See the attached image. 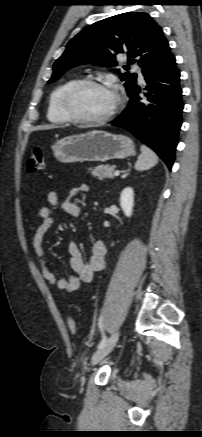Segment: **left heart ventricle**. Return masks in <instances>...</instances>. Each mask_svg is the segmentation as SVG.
I'll return each instance as SVG.
<instances>
[{
  "mask_svg": "<svg viewBox=\"0 0 202 437\" xmlns=\"http://www.w3.org/2000/svg\"><path fill=\"white\" fill-rule=\"evenodd\" d=\"M115 101V94L111 90L86 87L76 95L74 106L84 116L102 117L110 112Z\"/></svg>",
  "mask_w": 202,
  "mask_h": 437,
  "instance_id": "b2bd125f",
  "label": "left heart ventricle"
}]
</instances>
